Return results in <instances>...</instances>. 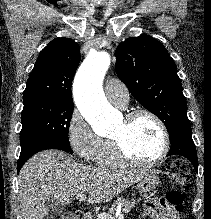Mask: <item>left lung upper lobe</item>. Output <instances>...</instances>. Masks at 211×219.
<instances>
[{"label":"left lung upper lobe","mask_w":211,"mask_h":219,"mask_svg":"<svg viewBox=\"0 0 211 219\" xmlns=\"http://www.w3.org/2000/svg\"><path fill=\"white\" fill-rule=\"evenodd\" d=\"M115 56L118 77L165 124L170 140L191 129L175 62L162 43L147 35L128 38L118 45Z\"/></svg>","instance_id":"1"}]
</instances>
